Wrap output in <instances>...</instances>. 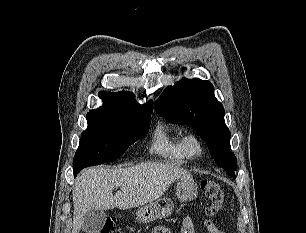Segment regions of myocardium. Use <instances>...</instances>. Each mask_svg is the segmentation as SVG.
Returning <instances> with one entry per match:
<instances>
[{
  "instance_id": "myocardium-1",
  "label": "myocardium",
  "mask_w": 306,
  "mask_h": 233,
  "mask_svg": "<svg viewBox=\"0 0 306 233\" xmlns=\"http://www.w3.org/2000/svg\"><path fill=\"white\" fill-rule=\"evenodd\" d=\"M193 146H196V150L192 149ZM183 150L187 158H199L204 152V144L202 139L194 133L187 134L183 138Z\"/></svg>"
}]
</instances>
